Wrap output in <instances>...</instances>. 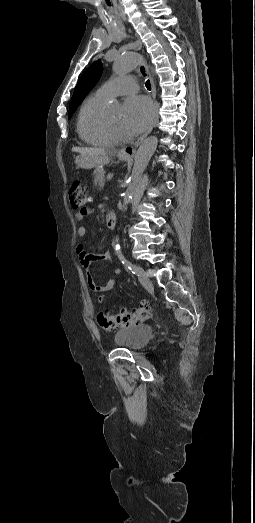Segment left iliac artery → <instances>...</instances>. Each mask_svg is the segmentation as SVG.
I'll list each match as a JSON object with an SVG mask.
<instances>
[{"label":"left iliac artery","mask_w":255,"mask_h":523,"mask_svg":"<svg viewBox=\"0 0 255 523\" xmlns=\"http://www.w3.org/2000/svg\"><path fill=\"white\" fill-rule=\"evenodd\" d=\"M123 264H125V266H127L128 269H129L133 274H137L138 276L143 274V270H142V268H140L139 266L134 265V264L131 263L130 261L125 260V261H123Z\"/></svg>","instance_id":"1"}]
</instances>
